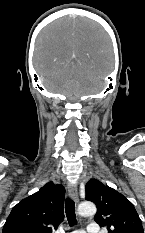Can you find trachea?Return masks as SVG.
I'll return each mask as SVG.
<instances>
[{
    "label": "trachea",
    "mask_w": 145,
    "mask_h": 233,
    "mask_svg": "<svg viewBox=\"0 0 145 233\" xmlns=\"http://www.w3.org/2000/svg\"><path fill=\"white\" fill-rule=\"evenodd\" d=\"M65 212L69 225L70 226L75 225L77 223L76 214H75V203L70 198H66Z\"/></svg>",
    "instance_id": "trachea-1"
}]
</instances>
